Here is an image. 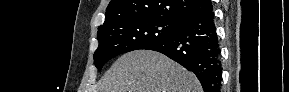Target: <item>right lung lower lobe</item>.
Masks as SVG:
<instances>
[{"instance_id":"right-lung-lower-lobe-1","label":"right lung lower lobe","mask_w":289,"mask_h":92,"mask_svg":"<svg viewBox=\"0 0 289 92\" xmlns=\"http://www.w3.org/2000/svg\"><path fill=\"white\" fill-rule=\"evenodd\" d=\"M213 8L179 23L175 34L144 49L158 51L195 73L204 92H219L221 56Z\"/></svg>"}]
</instances>
